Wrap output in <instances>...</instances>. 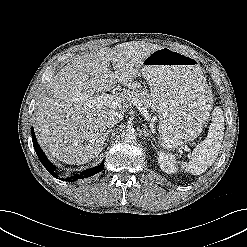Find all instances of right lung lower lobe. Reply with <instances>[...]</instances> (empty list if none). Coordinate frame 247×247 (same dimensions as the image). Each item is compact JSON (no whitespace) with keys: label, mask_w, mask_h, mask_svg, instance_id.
Here are the masks:
<instances>
[{"label":"right lung lower lobe","mask_w":247,"mask_h":247,"mask_svg":"<svg viewBox=\"0 0 247 247\" xmlns=\"http://www.w3.org/2000/svg\"><path fill=\"white\" fill-rule=\"evenodd\" d=\"M32 141H33V146L34 149L37 153L38 158L40 159L41 163L43 164V166L47 169V171L54 176L55 178H58V175L56 174L55 170L56 167L47 159V157L45 156L44 152L42 151V149L40 148L36 137H35V133H34V129L32 127ZM104 169V163L102 162L99 166H95L91 169L82 171L78 174H75L74 176H72L69 181H74L77 179H83V178H87L90 177L96 173L101 172ZM61 179V178H60Z\"/></svg>","instance_id":"1"}]
</instances>
